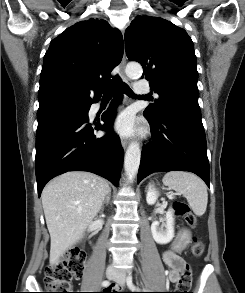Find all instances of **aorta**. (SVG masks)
Listing matches in <instances>:
<instances>
[{
    "label": "aorta",
    "instance_id": "aorta-1",
    "mask_svg": "<svg viewBox=\"0 0 245 293\" xmlns=\"http://www.w3.org/2000/svg\"><path fill=\"white\" fill-rule=\"evenodd\" d=\"M127 76L138 77L142 74V66L139 63H128L125 69ZM141 158V150L137 142H132L126 151L124 169L126 175L132 179L136 176Z\"/></svg>",
    "mask_w": 245,
    "mask_h": 293
}]
</instances>
